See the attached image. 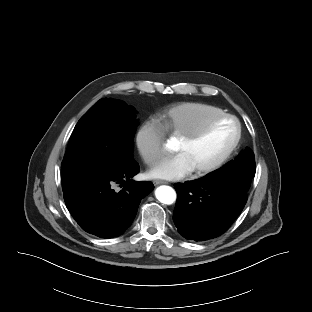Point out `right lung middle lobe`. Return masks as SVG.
<instances>
[{
  "mask_svg": "<svg viewBox=\"0 0 312 312\" xmlns=\"http://www.w3.org/2000/svg\"><path fill=\"white\" fill-rule=\"evenodd\" d=\"M135 117L134 107L112 98L100 99L81 117L61 165L63 192L133 161Z\"/></svg>",
  "mask_w": 312,
  "mask_h": 312,
  "instance_id": "right-lung-middle-lobe-1",
  "label": "right lung middle lobe"
}]
</instances>
